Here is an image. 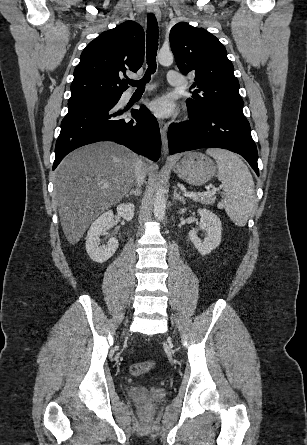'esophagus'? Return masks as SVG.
<instances>
[{"mask_svg": "<svg viewBox=\"0 0 307 445\" xmlns=\"http://www.w3.org/2000/svg\"><path fill=\"white\" fill-rule=\"evenodd\" d=\"M148 12L154 13L156 19L161 21V11L156 5H149L147 7ZM159 128L161 133L162 150L163 155L167 157L168 155V139H167V125L163 120H159Z\"/></svg>", "mask_w": 307, "mask_h": 445, "instance_id": "obj_1", "label": "esophagus"}]
</instances>
